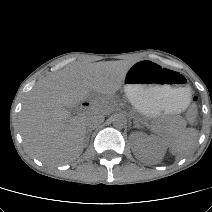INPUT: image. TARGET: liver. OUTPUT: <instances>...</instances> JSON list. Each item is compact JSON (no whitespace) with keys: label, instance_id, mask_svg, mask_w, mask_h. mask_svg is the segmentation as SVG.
I'll use <instances>...</instances> for the list:
<instances>
[{"label":"liver","instance_id":"1","mask_svg":"<svg viewBox=\"0 0 212 212\" xmlns=\"http://www.w3.org/2000/svg\"><path fill=\"white\" fill-rule=\"evenodd\" d=\"M132 66L127 61L72 64L40 81L30 92L20 116V131L26 150L44 164L75 160L84 149L86 116L106 114L104 103L89 112L72 116L76 106L90 92L112 97L121 89Z\"/></svg>","mask_w":212,"mask_h":212}]
</instances>
